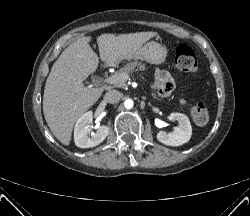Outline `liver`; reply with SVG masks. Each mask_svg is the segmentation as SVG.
<instances>
[{
  "label": "liver",
  "instance_id": "6515ba94",
  "mask_svg": "<svg viewBox=\"0 0 250 216\" xmlns=\"http://www.w3.org/2000/svg\"><path fill=\"white\" fill-rule=\"evenodd\" d=\"M156 32L102 34L97 38L100 59L106 64L137 50ZM91 36H83L70 44L51 68L43 95V113L53 135L69 145L78 118L102 95L103 88H88L83 81L93 74L99 57L90 47Z\"/></svg>",
  "mask_w": 250,
  "mask_h": 216
}]
</instances>
